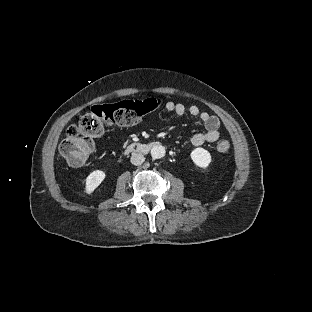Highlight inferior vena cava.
I'll list each match as a JSON object with an SVG mask.
<instances>
[{"label": "inferior vena cava", "instance_id": "602c4592", "mask_svg": "<svg viewBox=\"0 0 312 312\" xmlns=\"http://www.w3.org/2000/svg\"><path fill=\"white\" fill-rule=\"evenodd\" d=\"M145 162L144 155L140 153H133L131 156V163L135 166L141 165Z\"/></svg>", "mask_w": 312, "mask_h": 312}]
</instances>
